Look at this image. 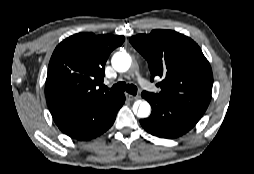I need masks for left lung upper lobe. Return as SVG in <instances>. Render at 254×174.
Returning a JSON list of instances; mask_svg holds the SVG:
<instances>
[{
	"instance_id": "5c2ea615",
	"label": "left lung upper lobe",
	"mask_w": 254,
	"mask_h": 174,
	"mask_svg": "<svg viewBox=\"0 0 254 174\" xmlns=\"http://www.w3.org/2000/svg\"><path fill=\"white\" fill-rule=\"evenodd\" d=\"M148 61L151 81L159 76L161 88L153 94L172 104L205 112L212 93L213 75L200 47L189 37L171 30H153L130 38ZM149 93V92H148Z\"/></svg>"
}]
</instances>
